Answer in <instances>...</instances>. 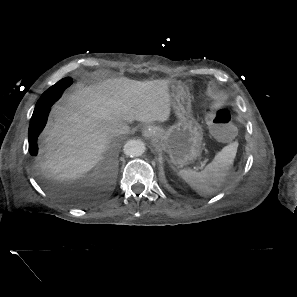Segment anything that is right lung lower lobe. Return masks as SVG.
Returning a JSON list of instances; mask_svg holds the SVG:
<instances>
[{
	"instance_id": "1",
	"label": "right lung lower lobe",
	"mask_w": 297,
	"mask_h": 297,
	"mask_svg": "<svg viewBox=\"0 0 297 297\" xmlns=\"http://www.w3.org/2000/svg\"><path fill=\"white\" fill-rule=\"evenodd\" d=\"M53 103L44 105L42 109L41 107L39 108L40 102L36 104L28 131L29 152L32 156H36L38 153L37 137L46 125L48 114Z\"/></svg>"
}]
</instances>
